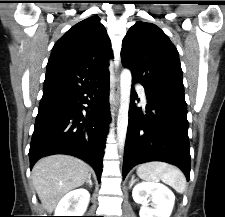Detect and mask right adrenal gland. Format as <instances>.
<instances>
[{
	"label": "right adrenal gland",
	"instance_id": "1",
	"mask_svg": "<svg viewBox=\"0 0 225 217\" xmlns=\"http://www.w3.org/2000/svg\"><path fill=\"white\" fill-rule=\"evenodd\" d=\"M86 184H89L90 187H92V181H91V173L89 174L87 180H86Z\"/></svg>",
	"mask_w": 225,
	"mask_h": 217
}]
</instances>
